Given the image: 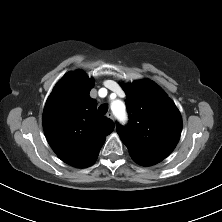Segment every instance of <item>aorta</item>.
<instances>
[{
    "instance_id": "1",
    "label": "aorta",
    "mask_w": 222,
    "mask_h": 222,
    "mask_svg": "<svg viewBox=\"0 0 222 222\" xmlns=\"http://www.w3.org/2000/svg\"><path fill=\"white\" fill-rule=\"evenodd\" d=\"M117 103L112 104V109L115 111V113L119 116H122L124 113V106L122 105L119 109H116Z\"/></svg>"
}]
</instances>
